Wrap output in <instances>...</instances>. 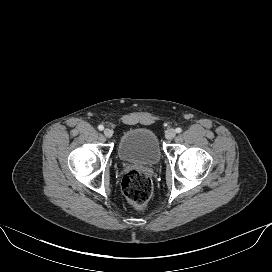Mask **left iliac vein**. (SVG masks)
<instances>
[{"mask_svg":"<svg viewBox=\"0 0 272 272\" xmlns=\"http://www.w3.org/2000/svg\"><path fill=\"white\" fill-rule=\"evenodd\" d=\"M176 136V131L174 129L167 130L165 137L169 140L173 139Z\"/></svg>","mask_w":272,"mask_h":272,"instance_id":"1","label":"left iliac vein"}]
</instances>
